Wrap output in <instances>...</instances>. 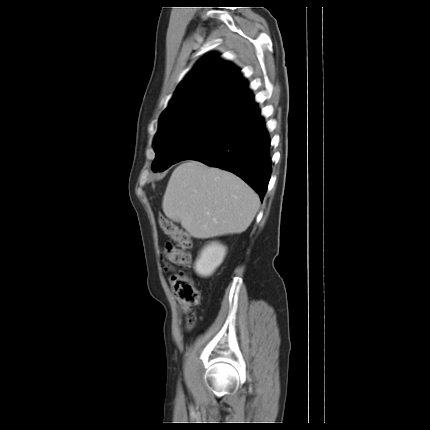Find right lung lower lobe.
Segmentation results:
<instances>
[{
	"mask_svg": "<svg viewBox=\"0 0 430 430\" xmlns=\"http://www.w3.org/2000/svg\"><path fill=\"white\" fill-rule=\"evenodd\" d=\"M245 91H249L248 87ZM186 160H198L238 175L262 201L272 168L270 138L260 110L252 106L231 127Z\"/></svg>",
	"mask_w": 430,
	"mask_h": 430,
	"instance_id": "1",
	"label": "right lung lower lobe"
}]
</instances>
